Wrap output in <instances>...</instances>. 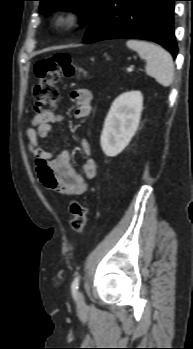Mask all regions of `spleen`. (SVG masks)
I'll return each instance as SVG.
<instances>
[{"label": "spleen", "mask_w": 193, "mask_h": 349, "mask_svg": "<svg viewBox=\"0 0 193 349\" xmlns=\"http://www.w3.org/2000/svg\"><path fill=\"white\" fill-rule=\"evenodd\" d=\"M127 46L147 61L145 71L160 85L168 87L173 83L174 64L171 54L162 47L140 40L130 39Z\"/></svg>", "instance_id": "3e777b00"}]
</instances>
